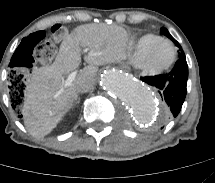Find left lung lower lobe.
Wrapping results in <instances>:
<instances>
[{
	"instance_id": "1",
	"label": "left lung lower lobe",
	"mask_w": 215,
	"mask_h": 183,
	"mask_svg": "<svg viewBox=\"0 0 215 183\" xmlns=\"http://www.w3.org/2000/svg\"><path fill=\"white\" fill-rule=\"evenodd\" d=\"M188 65L185 56L178 59L171 72L157 76L141 77L155 87L167 104L168 117H176L184 103L187 92Z\"/></svg>"
}]
</instances>
